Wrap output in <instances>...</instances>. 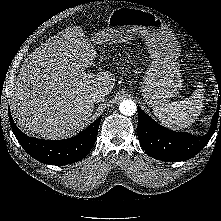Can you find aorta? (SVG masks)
I'll list each match as a JSON object with an SVG mask.
<instances>
[{
  "mask_svg": "<svg viewBox=\"0 0 221 221\" xmlns=\"http://www.w3.org/2000/svg\"><path fill=\"white\" fill-rule=\"evenodd\" d=\"M119 110L123 115L131 116L136 112L137 107L134 101L126 99L120 103Z\"/></svg>",
  "mask_w": 221,
  "mask_h": 221,
  "instance_id": "aorta-1",
  "label": "aorta"
}]
</instances>
